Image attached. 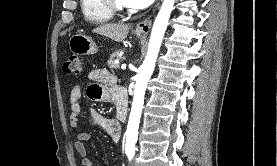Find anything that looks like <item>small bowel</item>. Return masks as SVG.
<instances>
[{
    "label": "small bowel",
    "mask_w": 277,
    "mask_h": 166,
    "mask_svg": "<svg viewBox=\"0 0 277 166\" xmlns=\"http://www.w3.org/2000/svg\"><path fill=\"white\" fill-rule=\"evenodd\" d=\"M90 85L87 89V97L96 102H114L115 93L119 89L116 77L107 69H93L88 74ZM84 108L83 96L79 86H75L70 94L69 123L72 128L79 124V116ZM89 120L103 129L113 143L120 137V126L115 119L107 118L92 109H87ZM91 139L88 132H79L76 136L74 148L80 157L83 166H97L87 155L85 142Z\"/></svg>",
    "instance_id": "small-bowel-1"
}]
</instances>
